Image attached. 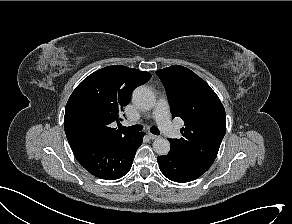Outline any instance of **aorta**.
Listing matches in <instances>:
<instances>
[{
    "mask_svg": "<svg viewBox=\"0 0 292 224\" xmlns=\"http://www.w3.org/2000/svg\"><path fill=\"white\" fill-rule=\"evenodd\" d=\"M133 102L141 109L150 110L154 107L156 99L149 88L139 86L133 92ZM153 150L158 155H167L170 151V142L165 138H157L153 142Z\"/></svg>",
    "mask_w": 292,
    "mask_h": 224,
    "instance_id": "aorta-1",
    "label": "aorta"
}]
</instances>
